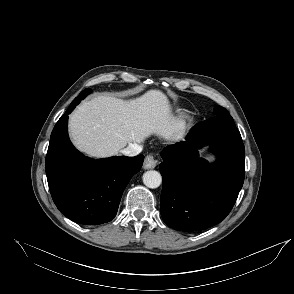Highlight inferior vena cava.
Segmentation results:
<instances>
[{
    "mask_svg": "<svg viewBox=\"0 0 294 294\" xmlns=\"http://www.w3.org/2000/svg\"><path fill=\"white\" fill-rule=\"evenodd\" d=\"M142 151V146L138 144H129L126 148L120 152L126 156L133 157L138 155Z\"/></svg>",
    "mask_w": 294,
    "mask_h": 294,
    "instance_id": "inferior-vena-cava-1",
    "label": "inferior vena cava"
}]
</instances>
